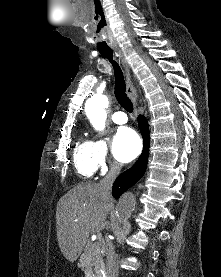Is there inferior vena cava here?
<instances>
[{"instance_id": "602c4592", "label": "inferior vena cava", "mask_w": 221, "mask_h": 277, "mask_svg": "<svg viewBox=\"0 0 221 277\" xmlns=\"http://www.w3.org/2000/svg\"><path fill=\"white\" fill-rule=\"evenodd\" d=\"M120 164H111L109 172L100 181V188L106 196H110L113 183L120 173ZM106 277H117L118 276V258L114 250V245L111 241L107 242L106 245Z\"/></svg>"}]
</instances>
